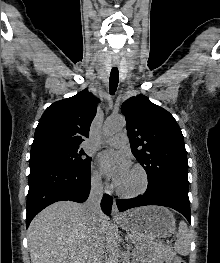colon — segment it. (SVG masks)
I'll return each instance as SVG.
<instances>
[{"label": "colon", "instance_id": "5ec220e1", "mask_svg": "<svg viewBox=\"0 0 220 263\" xmlns=\"http://www.w3.org/2000/svg\"><path fill=\"white\" fill-rule=\"evenodd\" d=\"M173 263H185V261L180 258V257H176L174 260H173Z\"/></svg>", "mask_w": 220, "mask_h": 263}]
</instances>
